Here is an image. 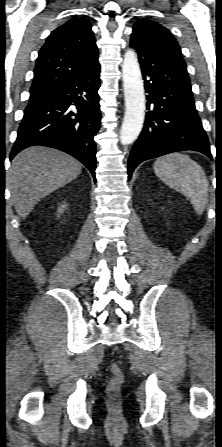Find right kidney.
I'll use <instances>...</instances> for the list:
<instances>
[{
	"label": "right kidney",
	"mask_w": 222,
	"mask_h": 447,
	"mask_svg": "<svg viewBox=\"0 0 222 447\" xmlns=\"http://www.w3.org/2000/svg\"><path fill=\"white\" fill-rule=\"evenodd\" d=\"M65 206L62 205L59 209H58V213H62L64 211Z\"/></svg>",
	"instance_id": "obj_1"
}]
</instances>
